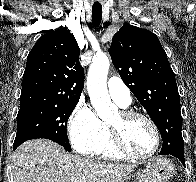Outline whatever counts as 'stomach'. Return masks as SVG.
I'll use <instances>...</instances> for the list:
<instances>
[{
	"label": "stomach",
	"mask_w": 196,
	"mask_h": 182,
	"mask_svg": "<svg viewBox=\"0 0 196 182\" xmlns=\"http://www.w3.org/2000/svg\"><path fill=\"white\" fill-rule=\"evenodd\" d=\"M174 171V165L164 157H156L146 164L143 172L134 173L124 182H165Z\"/></svg>",
	"instance_id": "stomach-1"
}]
</instances>
